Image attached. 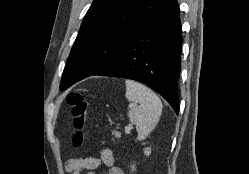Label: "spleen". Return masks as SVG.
Listing matches in <instances>:
<instances>
[{
  "label": "spleen",
  "instance_id": "obj_1",
  "mask_svg": "<svg viewBox=\"0 0 249 174\" xmlns=\"http://www.w3.org/2000/svg\"><path fill=\"white\" fill-rule=\"evenodd\" d=\"M126 98L131 103L129 119L135 124L139 141L145 139L156 127L162 114L159 97L141 83L126 80Z\"/></svg>",
  "mask_w": 249,
  "mask_h": 174
}]
</instances>
